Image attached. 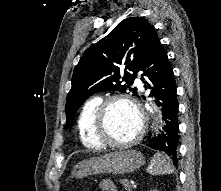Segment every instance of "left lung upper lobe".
<instances>
[{
	"label": "left lung upper lobe",
	"instance_id": "obj_1",
	"mask_svg": "<svg viewBox=\"0 0 221 191\" xmlns=\"http://www.w3.org/2000/svg\"><path fill=\"white\" fill-rule=\"evenodd\" d=\"M156 38V30L147 20L131 17L122 20L106 37L89 47L73 72L65 107L66 127L71 125L81 104L96 92L126 93L129 90L136 95L137 89L130 86ZM120 79L126 84L121 85Z\"/></svg>",
	"mask_w": 221,
	"mask_h": 191
}]
</instances>
